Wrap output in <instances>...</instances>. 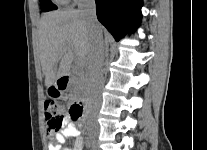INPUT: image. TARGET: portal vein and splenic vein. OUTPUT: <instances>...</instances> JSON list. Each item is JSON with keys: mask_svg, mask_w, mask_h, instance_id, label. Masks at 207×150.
I'll list each match as a JSON object with an SVG mask.
<instances>
[{"mask_svg": "<svg viewBox=\"0 0 207 150\" xmlns=\"http://www.w3.org/2000/svg\"><path fill=\"white\" fill-rule=\"evenodd\" d=\"M77 64H78L79 66H85V62L82 61V60H78V61H77Z\"/></svg>", "mask_w": 207, "mask_h": 150, "instance_id": "portal-vein-and-splenic-vein-1", "label": "portal vein and splenic vein"}]
</instances>
